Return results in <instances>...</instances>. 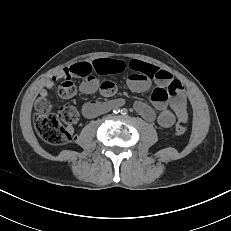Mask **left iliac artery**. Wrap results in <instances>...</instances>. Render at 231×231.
<instances>
[{"label": "left iliac artery", "instance_id": "1", "mask_svg": "<svg viewBox=\"0 0 231 231\" xmlns=\"http://www.w3.org/2000/svg\"><path fill=\"white\" fill-rule=\"evenodd\" d=\"M126 112H127L126 109H122V110H121V113H122V114H126Z\"/></svg>", "mask_w": 231, "mask_h": 231}]
</instances>
